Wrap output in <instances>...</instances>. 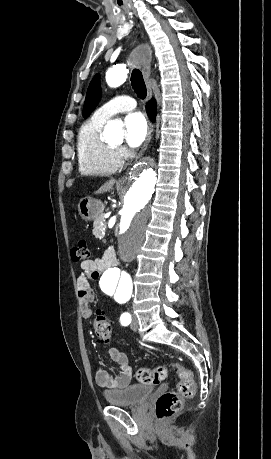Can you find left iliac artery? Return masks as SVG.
<instances>
[{
	"instance_id": "obj_1",
	"label": "left iliac artery",
	"mask_w": 271,
	"mask_h": 459,
	"mask_svg": "<svg viewBox=\"0 0 271 459\" xmlns=\"http://www.w3.org/2000/svg\"><path fill=\"white\" fill-rule=\"evenodd\" d=\"M120 322L123 326H127L131 323V315L127 312L123 313L120 317Z\"/></svg>"
}]
</instances>
